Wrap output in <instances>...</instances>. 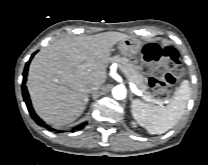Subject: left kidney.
Returning <instances> with one entry per match:
<instances>
[{"label": "left kidney", "mask_w": 208, "mask_h": 165, "mask_svg": "<svg viewBox=\"0 0 208 165\" xmlns=\"http://www.w3.org/2000/svg\"><path fill=\"white\" fill-rule=\"evenodd\" d=\"M132 125H133L134 127H136V124H135L134 122H132Z\"/></svg>", "instance_id": "5707ae66"}]
</instances>
